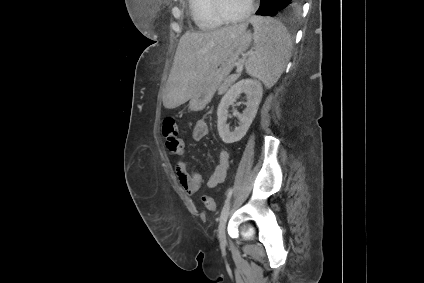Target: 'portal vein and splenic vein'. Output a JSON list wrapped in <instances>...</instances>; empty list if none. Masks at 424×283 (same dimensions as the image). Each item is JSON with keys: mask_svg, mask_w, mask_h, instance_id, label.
Masks as SVG:
<instances>
[{"mask_svg": "<svg viewBox=\"0 0 424 283\" xmlns=\"http://www.w3.org/2000/svg\"><path fill=\"white\" fill-rule=\"evenodd\" d=\"M250 56V55H252V53L251 52H248L245 56H244V58H246V56ZM236 66H237V69H236V72L237 73H240L241 71H242V66H241V64L238 62L237 64H236Z\"/></svg>", "mask_w": 424, "mask_h": 283, "instance_id": "obj_1", "label": "portal vein and splenic vein"}]
</instances>
